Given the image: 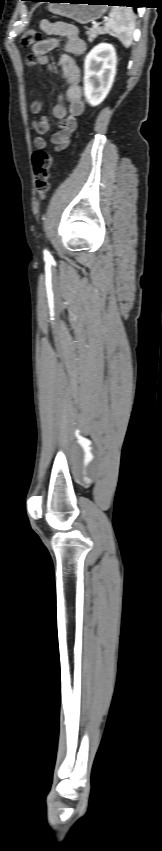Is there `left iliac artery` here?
Listing matches in <instances>:
<instances>
[{
    "label": "left iliac artery",
    "mask_w": 162,
    "mask_h": 851,
    "mask_svg": "<svg viewBox=\"0 0 162 851\" xmlns=\"http://www.w3.org/2000/svg\"><path fill=\"white\" fill-rule=\"evenodd\" d=\"M44 254H45V257H46V258L50 257V255H49L48 251H46V250H45Z\"/></svg>",
    "instance_id": "44dca946"
}]
</instances>
